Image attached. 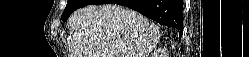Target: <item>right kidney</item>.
Returning <instances> with one entry per match:
<instances>
[{
	"label": "right kidney",
	"instance_id": "obj_1",
	"mask_svg": "<svg viewBox=\"0 0 249 57\" xmlns=\"http://www.w3.org/2000/svg\"><path fill=\"white\" fill-rule=\"evenodd\" d=\"M165 53L161 52V53H155L154 57H164Z\"/></svg>",
	"mask_w": 249,
	"mask_h": 57
}]
</instances>
